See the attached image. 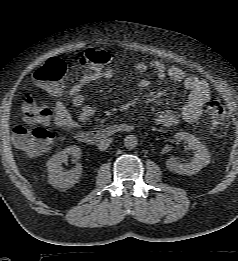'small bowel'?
<instances>
[{"instance_id": "c3829d8e", "label": "small bowel", "mask_w": 238, "mask_h": 261, "mask_svg": "<svg viewBox=\"0 0 238 261\" xmlns=\"http://www.w3.org/2000/svg\"><path fill=\"white\" fill-rule=\"evenodd\" d=\"M153 69L159 79H170L181 84L188 92V100L179 111H165L156 116L155 121L165 126L177 125L180 121L194 122L198 120L205 105L210 100L209 88L205 81L196 76L187 74L184 70L168 66L158 60L149 62H139L135 65V70L139 73ZM114 75V70L107 67L99 71H86L80 79L72 85L66 94L64 101L57 100L52 106L50 113L51 123L58 129L72 131L78 129L81 124L88 122L95 114V108L90 105L83 95V88L101 79H110ZM140 90H148L151 81L143 78L138 82ZM58 94V93H54ZM70 106L78 109L76 117L70 111Z\"/></svg>"}]
</instances>
